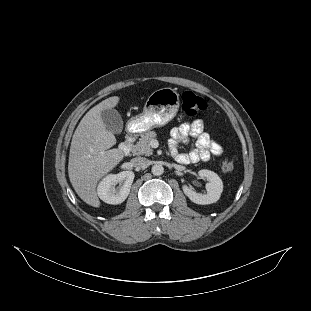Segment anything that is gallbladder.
Returning <instances> with one entry per match:
<instances>
[{
	"label": "gallbladder",
	"instance_id": "obj_1",
	"mask_svg": "<svg viewBox=\"0 0 311 311\" xmlns=\"http://www.w3.org/2000/svg\"><path fill=\"white\" fill-rule=\"evenodd\" d=\"M102 120L106 128L114 134H120L123 130V119L116 109H106L101 112Z\"/></svg>",
	"mask_w": 311,
	"mask_h": 311
}]
</instances>
